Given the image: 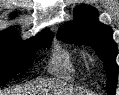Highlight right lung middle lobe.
<instances>
[{
    "mask_svg": "<svg viewBox=\"0 0 119 95\" xmlns=\"http://www.w3.org/2000/svg\"><path fill=\"white\" fill-rule=\"evenodd\" d=\"M53 36L41 33L32 39L22 41L17 36H0V86L32 66L35 51L49 47Z\"/></svg>",
    "mask_w": 119,
    "mask_h": 95,
    "instance_id": "1",
    "label": "right lung middle lobe"
}]
</instances>
